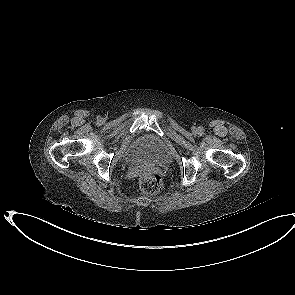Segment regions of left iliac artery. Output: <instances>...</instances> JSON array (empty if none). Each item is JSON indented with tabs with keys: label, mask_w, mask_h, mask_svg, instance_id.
<instances>
[{
	"label": "left iliac artery",
	"mask_w": 295,
	"mask_h": 295,
	"mask_svg": "<svg viewBox=\"0 0 295 295\" xmlns=\"http://www.w3.org/2000/svg\"><path fill=\"white\" fill-rule=\"evenodd\" d=\"M204 131L203 127H199V133L202 134Z\"/></svg>",
	"instance_id": "1"
}]
</instances>
